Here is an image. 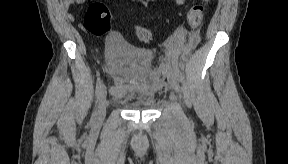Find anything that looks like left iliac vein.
Returning <instances> with one entry per match:
<instances>
[{
    "label": "left iliac vein",
    "instance_id": "4c4485c4",
    "mask_svg": "<svg viewBox=\"0 0 288 164\" xmlns=\"http://www.w3.org/2000/svg\"><path fill=\"white\" fill-rule=\"evenodd\" d=\"M170 84H171V87L174 90V92L179 94L180 93V86H179L178 81L175 78H171Z\"/></svg>",
    "mask_w": 288,
    "mask_h": 164
}]
</instances>
